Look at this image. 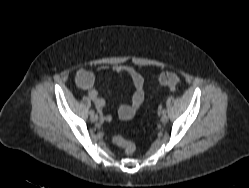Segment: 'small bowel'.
Instances as JSON below:
<instances>
[{
	"label": "small bowel",
	"mask_w": 249,
	"mask_h": 188,
	"mask_svg": "<svg viewBox=\"0 0 249 188\" xmlns=\"http://www.w3.org/2000/svg\"><path fill=\"white\" fill-rule=\"evenodd\" d=\"M107 70V66H102L96 69L94 72L80 70L77 73L76 82L81 89L87 92L89 98L94 103L101 120L109 122L112 120V116L103 113L105 101L104 99L98 96V92L94 86L96 76L102 74ZM112 70L117 75H125L130 77L134 85V91L131 97V104L128 105L121 103L118 109L120 118L127 120L134 116L136 111L141 107L144 102L145 77L136 68L129 65H116L112 68Z\"/></svg>",
	"instance_id": "small-bowel-1"
}]
</instances>
